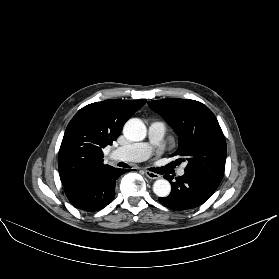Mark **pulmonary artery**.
<instances>
[{
  "mask_svg": "<svg viewBox=\"0 0 279 279\" xmlns=\"http://www.w3.org/2000/svg\"><path fill=\"white\" fill-rule=\"evenodd\" d=\"M165 124L162 121H154L149 125L146 143L133 144L128 147H119L113 150L112 156L117 160L127 162H141L149 158L153 148L162 140L165 134ZM185 173L184 167L178 170V175Z\"/></svg>",
  "mask_w": 279,
  "mask_h": 279,
  "instance_id": "e3ab8cb5",
  "label": "pulmonary artery"
}]
</instances>
